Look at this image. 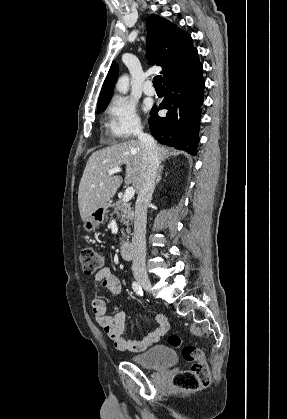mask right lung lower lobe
I'll return each instance as SVG.
<instances>
[{
	"instance_id": "1",
	"label": "right lung lower lobe",
	"mask_w": 287,
	"mask_h": 419,
	"mask_svg": "<svg viewBox=\"0 0 287 419\" xmlns=\"http://www.w3.org/2000/svg\"><path fill=\"white\" fill-rule=\"evenodd\" d=\"M202 65L193 71L163 83L164 99L154 106L149 118L152 136L161 144L196 155L199 142L201 106L205 81ZM159 109H167L165 117Z\"/></svg>"
}]
</instances>
